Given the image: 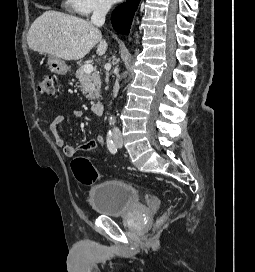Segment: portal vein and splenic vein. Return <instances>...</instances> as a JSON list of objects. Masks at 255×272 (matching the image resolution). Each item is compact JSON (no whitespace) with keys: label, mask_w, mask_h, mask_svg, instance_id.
<instances>
[{"label":"portal vein and splenic vein","mask_w":255,"mask_h":272,"mask_svg":"<svg viewBox=\"0 0 255 272\" xmlns=\"http://www.w3.org/2000/svg\"><path fill=\"white\" fill-rule=\"evenodd\" d=\"M83 69H84V72L91 73L93 71V65L85 64Z\"/></svg>","instance_id":"obj_1"}]
</instances>
